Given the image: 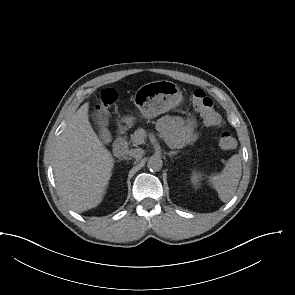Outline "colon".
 I'll return each mask as SVG.
<instances>
[{"mask_svg": "<svg viewBox=\"0 0 295 295\" xmlns=\"http://www.w3.org/2000/svg\"><path fill=\"white\" fill-rule=\"evenodd\" d=\"M116 92L113 89H104L98 96V111L101 117L107 115V109L115 102ZM194 108L201 114L204 122L210 127H220L222 118L214 107L212 99L201 89L191 94ZM218 143L223 150H232L236 147V140L231 133L224 131L219 135Z\"/></svg>", "mask_w": 295, "mask_h": 295, "instance_id": "1", "label": "colon"}]
</instances>
